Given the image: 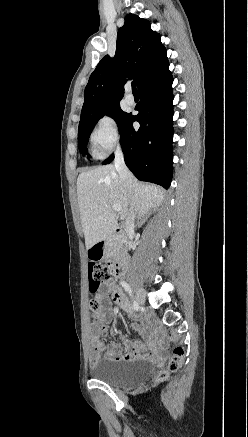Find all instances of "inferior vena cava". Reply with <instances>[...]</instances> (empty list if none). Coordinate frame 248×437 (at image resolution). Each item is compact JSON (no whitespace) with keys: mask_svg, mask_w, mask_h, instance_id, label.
<instances>
[{"mask_svg":"<svg viewBox=\"0 0 248 437\" xmlns=\"http://www.w3.org/2000/svg\"><path fill=\"white\" fill-rule=\"evenodd\" d=\"M114 166H115V169H116L120 179L122 180V182L129 189V191H131L132 174L130 173V171L128 170V168L124 162V156H123V153H122L120 146H117L116 151H115ZM136 215H137V208H136L135 202L132 201L131 205H130L129 215L126 219V225L128 227H134Z\"/></svg>","mask_w":248,"mask_h":437,"instance_id":"inferior-vena-cava-1","label":"inferior vena cava"}]
</instances>
